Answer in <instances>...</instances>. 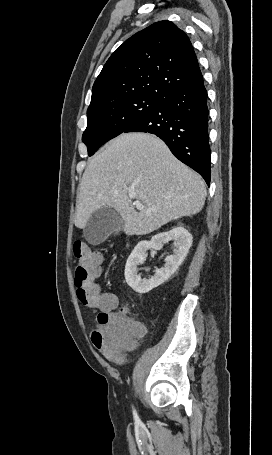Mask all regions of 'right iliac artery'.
Masks as SVG:
<instances>
[{
	"label": "right iliac artery",
	"mask_w": 272,
	"mask_h": 455,
	"mask_svg": "<svg viewBox=\"0 0 272 455\" xmlns=\"http://www.w3.org/2000/svg\"><path fill=\"white\" fill-rule=\"evenodd\" d=\"M133 415H134V419L137 421L138 420V416H137V413L135 410H133Z\"/></svg>",
	"instance_id": "obj_1"
}]
</instances>
